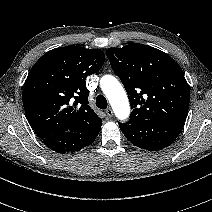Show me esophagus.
Masks as SVG:
<instances>
[{"label":"esophagus","instance_id":"obj_1","mask_svg":"<svg viewBox=\"0 0 212 212\" xmlns=\"http://www.w3.org/2000/svg\"><path fill=\"white\" fill-rule=\"evenodd\" d=\"M106 114L109 118L113 116V110L111 108L106 109Z\"/></svg>","mask_w":212,"mask_h":212}]
</instances>
